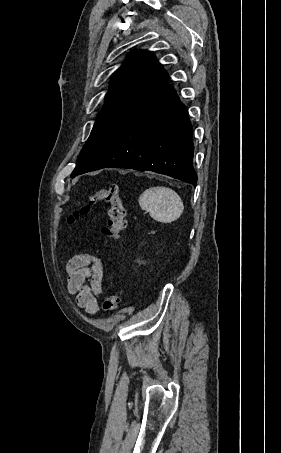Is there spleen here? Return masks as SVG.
<instances>
[{"label":"spleen","mask_w":281,"mask_h":453,"mask_svg":"<svg viewBox=\"0 0 281 453\" xmlns=\"http://www.w3.org/2000/svg\"><path fill=\"white\" fill-rule=\"evenodd\" d=\"M142 210H147L154 220L172 222L184 210V204L177 192L166 186H151L142 192L138 200Z\"/></svg>","instance_id":"spleen-1"}]
</instances>
